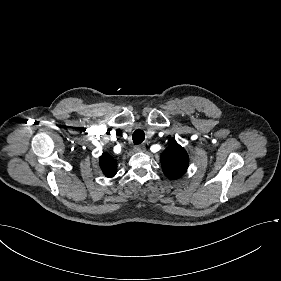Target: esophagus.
I'll return each instance as SVG.
<instances>
[{
  "label": "esophagus",
  "mask_w": 281,
  "mask_h": 281,
  "mask_svg": "<svg viewBox=\"0 0 281 281\" xmlns=\"http://www.w3.org/2000/svg\"><path fill=\"white\" fill-rule=\"evenodd\" d=\"M134 150H135L136 152H142V151L145 150V146H144V145H136V146L134 147Z\"/></svg>",
  "instance_id": "1"
}]
</instances>
